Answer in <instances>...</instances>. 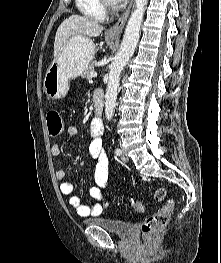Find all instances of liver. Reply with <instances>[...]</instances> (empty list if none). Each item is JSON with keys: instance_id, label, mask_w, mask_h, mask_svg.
<instances>
[{"instance_id": "obj_1", "label": "liver", "mask_w": 221, "mask_h": 263, "mask_svg": "<svg viewBox=\"0 0 221 263\" xmlns=\"http://www.w3.org/2000/svg\"><path fill=\"white\" fill-rule=\"evenodd\" d=\"M103 29V26L96 21L80 15H71L57 29L54 42V56H58L63 45L71 37H97L102 33Z\"/></svg>"}]
</instances>
